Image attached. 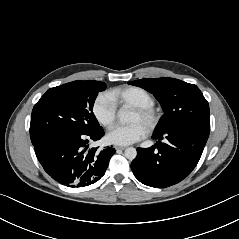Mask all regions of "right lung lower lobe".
Wrapping results in <instances>:
<instances>
[{"instance_id":"1","label":"right lung lower lobe","mask_w":239,"mask_h":239,"mask_svg":"<svg viewBox=\"0 0 239 239\" xmlns=\"http://www.w3.org/2000/svg\"><path fill=\"white\" fill-rule=\"evenodd\" d=\"M102 127L88 132L54 131L35 144L36 156L44 170L56 181L69 187H84L97 182L105 173L114 148L88 150L89 140H99Z\"/></svg>"}]
</instances>
